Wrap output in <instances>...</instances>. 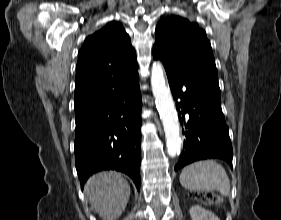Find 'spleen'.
<instances>
[{
    "mask_svg": "<svg viewBox=\"0 0 281 220\" xmlns=\"http://www.w3.org/2000/svg\"><path fill=\"white\" fill-rule=\"evenodd\" d=\"M181 185L190 190H217L224 196L230 195V180L223 166L214 160L194 162L183 168Z\"/></svg>",
    "mask_w": 281,
    "mask_h": 220,
    "instance_id": "1",
    "label": "spleen"
}]
</instances>
